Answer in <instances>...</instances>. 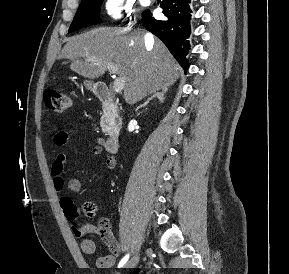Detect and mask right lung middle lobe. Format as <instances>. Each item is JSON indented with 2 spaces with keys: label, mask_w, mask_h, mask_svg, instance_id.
I'll list each match as a JSON object with an SVG mask.
<instances>
[{
  "label": "right lung middle lobe",
  "mask_w": 289,
  "mask_h": 274,
  "mask_svg": "<svg viewBox=\"0 0 289 274\" xmlns=\"http://www.w3.org/2000/svg\"><path fill=\"white\" fill-rule=\"evenodd\" d=\"M103 0H82L69 28V33L82 27L101 23L99 10Z\"/></svg>",
  "instance_id": "right-lung-middle-lobe-1"
}]
</instances>
